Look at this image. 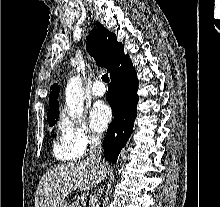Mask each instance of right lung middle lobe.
<instances>
[{"label":"right lung middle lobe","mask_w":220,"mask_h":207,"mask_svg":"<svg viewBox=\"0 0 220 207\" xmlns=\"http://www.w3.org/2000/svg\"><path fill=\"white\" fill-rule=\"evenodd\" d=\"M58 116L59 114L56 117H54L52 120H48L49 126H53L57 122Z\"/></svg>","instance_id":"obj_1"}]
</instances>
